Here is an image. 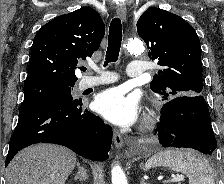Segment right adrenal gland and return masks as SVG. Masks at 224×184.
Instances as JSON below:
<instances>
[{
    "mask_svg": "<svg viewBox=\"0 0 224 184\" xmlns=\"http://www.w3.org/2000/svg\"><path fill=\"white\" fill-rule=\"evenodd\" d=\"M77 168H78V172L75 175L74 179L75 180H79V181H86L88 178L87 175V170L81 166V164L79 162H77Z\"/></svg>",
    "mask_w": 224,
    "mask_h": 184,
    "instance_id": "2a0ac1e0",
    "label": "right adrenal gland"
}]
</instances>
